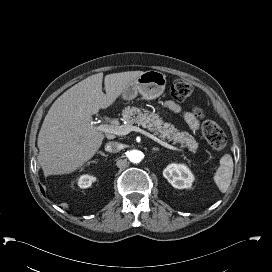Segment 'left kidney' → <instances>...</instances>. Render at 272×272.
<instances>
[{
    "instance_id": "left-kidney-1",
    "label": "left kidney",
    "mask_w": 272,
    "mask_h": 272,
    "mask_svg": "<svg viewBox=\"0 0 272 272\" xmlns=\"http://www.w3.org/2000/svg\"><path fill=\"white\" fill-rule=\"evenodd\" d=\"M163 176L177 189L190 188L194 181L193 174L184 164L172 163L168 165L163 171Z\"/></svg>"
}]
</instances>
